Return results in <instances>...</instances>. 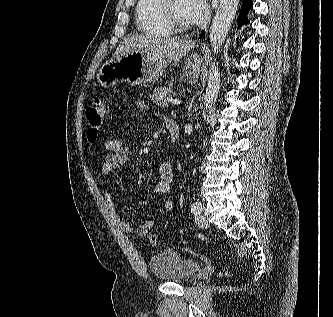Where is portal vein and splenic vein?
<instances>
[{"label":"portal vein and splenic vein","instance_id":"1","mask_svg":"<svg viewBox=\"0 0 333 317\" xmlns=\"http://www.w3.org/2000/svg\"><path fill=\"white\" fill-rule=\"evenodd\" d=\"M167 101L171 102L173 105H179V104L182 103L181 100H179V99H173V98H167Z\"/></svg>","mask_w":333,"mask_h":317}]
</instances>
